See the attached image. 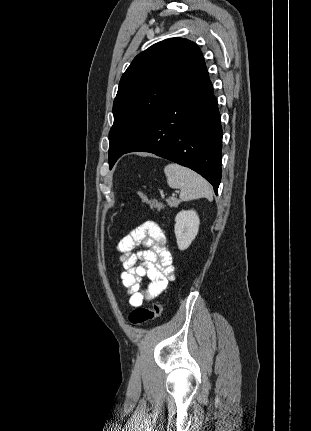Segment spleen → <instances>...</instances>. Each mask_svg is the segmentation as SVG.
I'll return each mask as SVG.
<instances>
[{
  "mask_svg": "<svg viewBox=\"0 0 311 431\" xmlns=\"http://www.w3.org/2000/svg\"><path fill=\"white\" fill-rule=\"evenodd\" d=\"M169 188L180 190V200L189 202L197 198H207L209 202L213 200L212 188L204 178L189 168H183L178 164H168L164 168Z\"/></svg>",
  "mask_w": 311,
  "mask_h": 431,
  "instance_id": "3e777b00",
  "label": "spleen"
}]
</instances>
